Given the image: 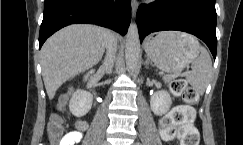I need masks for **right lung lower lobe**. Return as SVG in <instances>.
Listing matches in <instances>:
<instances>
[{
    "label": "right lung lower lobe",
    "instance_id": "obj_1",
    "mask_svg": "<svg viewBox=\"0 0 243 145\" xmlns=\"http://www.w3.org/2000/svg\"><path fill=\"white\" fill-rule=\"evenodd\" d=\"M131 19V0H45L40 27L39 48L64 26L89 23L127 33Z\"/></svg>",
    "mask_w": 243,
    "mask_h": 145
}]
</instances>
